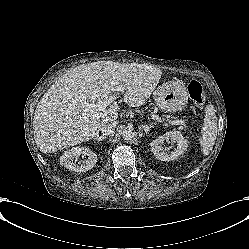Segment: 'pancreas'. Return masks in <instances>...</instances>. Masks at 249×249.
<instances>
[{
	"label": "pancreas",
	"instance_id": "1",
	"mask_svg": "<svg viewBox=\"0 0 249 249\" xmlns=\"http://www.w3.org/2000/svg\"><path fill=\"white\" fill-rule=\"evenodd\" d=\"M186 125V122H184L181 126H185Z\"/></svg>",
	"mask_w": 249,
	"mask_h": 249
}]
</instances>
